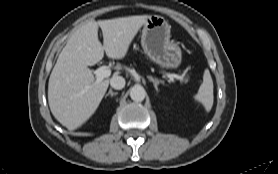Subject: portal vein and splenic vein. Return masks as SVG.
<instances>
[{"label": "portal vein and splenic vein", "mask_w": 278, "mask_h": 174, "mask_svg": "<svg viewBox=\"0 0 278 174\" xmlns=\"http://www.w3.org/2000/svg\"><path fill=\"white\" fill-rule=\"evenodd\" d=\"M94 74L96 75V83H99L104 80V78H108L111 75V70L107 66H101L95 70ZM166 76L170 79L183 80V77L177 74L167 73Z\"/></svg>", "instance_id": "portal-vein-and-splenic-vein-1"}]
</instances>
